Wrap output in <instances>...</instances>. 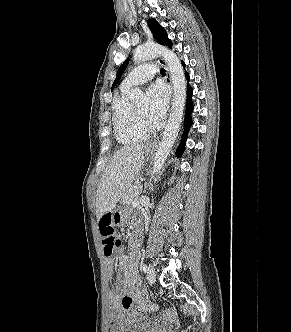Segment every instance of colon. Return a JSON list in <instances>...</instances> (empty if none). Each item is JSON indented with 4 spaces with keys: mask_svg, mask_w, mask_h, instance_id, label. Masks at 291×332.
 <instances>
[{
    "mask_svg": "<svg viewBox=\"0 0 291 332\" xmlns=\"http://www.w3.org/2000/svg\"><path fill=\"white\" fill-rule=\"evenodd\" d=\"M99 227L104 254L107 257H111L113 256L115 249L120 244L119 239L116 236V231L112 222L111 215H104L100 220ZM168 312L172 313L171 310H168Z\"/></svg>",
    "mask_w": 291,
    "mask_h": 332,
    "instance_id": "1",
    "label": "colon"
}]
</instances>
